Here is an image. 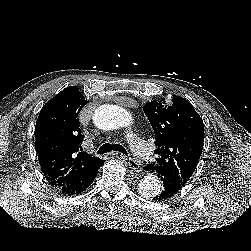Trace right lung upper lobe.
I'll return each mask as SVG.
<instances>
[{
	"label": "right lung upper lobe",
	"mask_w": 251,
	"mask_h": 251,
	"mask_svg": "<svg viewBox=\"0 0 251 251\" xmlns=\"http://www.w3.org/2000/svg\"><path fill=\"white\" fill-rule=\"evenodd\" d=\"M88 102L76 86H70L40 111L35 127L36 152L44 176L53 186L79 181L103 162L81 147L84 136L78 116Z\"/></svg>",
	"instance_id": "right-lung-upper-lobe-1"
}]
</instances>
